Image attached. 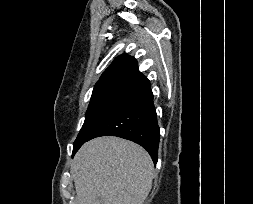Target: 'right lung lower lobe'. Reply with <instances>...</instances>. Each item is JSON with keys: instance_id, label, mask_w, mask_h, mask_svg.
I'll return each mask as SVG.
<instances>
[{"instance_id": "98d812e1", "label": "right lung lower lobe", "mask_w": 253, "mask_h": 204, "mask_svg": "<svg viewBox=\"0 0 253 204\" xmlns=\"http://www.w3.org/2000/svg\"><path fill=\"white\" fill-rule=\"evenodd\" d=\"M100 136H117L141 145L157 163L160 131L150 82L138 87L104 120L89 140Z\"/></svg>"}]
</instances>
